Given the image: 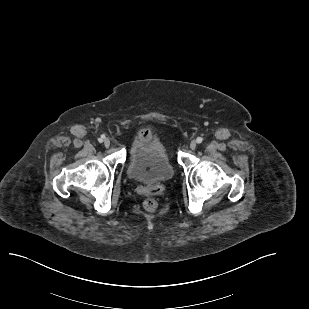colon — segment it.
<instances>
[{
  "mask_svg": "<svg viewBox=\"0 0 309 309\" xmlns=\"http://www.w3.org/2000/svg\"><path fill=\"white\" fill-rule=\"evenodd\" d=\"M142 135H143V136H147L148 133H147V132H144ZM143 206H144V208H145L147 211L152 212V211H155V210L157 209L158 204H157V201H156L155 199H153V198H147V199L144 201Z\"/></svg>",
  "mask_w": 309,
  "mask_h": 309,
  "instance_id": "obj_1",
  "label": "colon"
}]
</instances>
